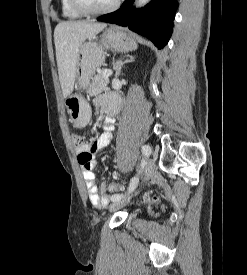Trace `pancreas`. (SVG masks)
I'll return each mask as SVG.
<instances>
[{
	"label": "pancreas",
	"mask_w": 247,
	"mask_h": 275,
	"mask_svg": "<svg viewBox=\"0 0 247 275\" xmlns=\"http://www.w3.org/2000/svg\"><path fill=\"white\" fill-rule=\"evenodd\" d=\"M109 79L102 76V73H98L92 79V82L87 90V93L91 96H95L102 91H107Z\"/></svg>",
	"instance_id": "pancreas-1"
}]
</instances>
